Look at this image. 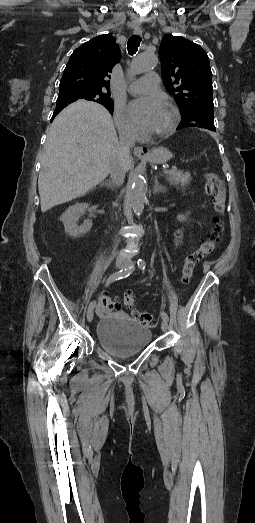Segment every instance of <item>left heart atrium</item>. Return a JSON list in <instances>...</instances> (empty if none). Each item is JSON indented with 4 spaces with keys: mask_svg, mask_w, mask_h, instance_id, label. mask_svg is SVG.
Instances as JSON below:
<instances>
[{
    "mask_svg": "<svg viewBox=\"0 0 255 523\" xmlns=\"http://www.w3.org/2000/svg\"><path fill=\"white\" fill-rule=\"evenodd\" d=\"M160 106L161 103L157 98L139 99L129 106V116L136 127L146 131Z\"/></svg>",
    "mask_w": 255,
    "mask_h": 523,
    "instance_id": "39dd6f15",
    "label": "left heart atrium"
}]
</instances>
